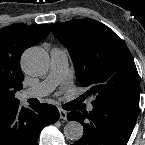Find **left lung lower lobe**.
Instances as JSON below:
<instances>
[{
	"label": "left lung lower lobe",
	"mask_w": 145,
	"mask_h": 145,
	"mask_svg": "<svg viewBox=\"0 0 145 145\" xmlns=\"http://www.w3.org/2000/svg\"><path fill=\"white\" fill-rule=\"evenodd\" d=\"M89 113L72 111L68 120L84 127L82 138L71 145H126L138 116V102L92 104Z\"/></svg>",
	"instance_id": "1"
}]
</instances>
